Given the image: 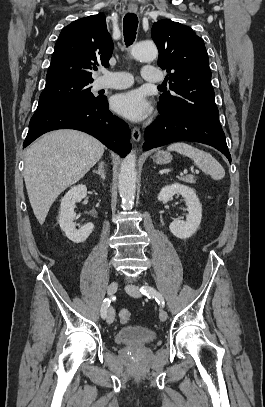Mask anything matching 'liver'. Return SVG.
Segmentation results:
<instances>
[{"instance_id": "6515ba94", "label": "liver", "mask_w": 265, "mask_h": 407, "mask_svg": "<svg viewBox=\"0 0 265 407\" xmlns=\"http://www.w3.org/2000/svg\"><path fill=\"white\" fill-rule=\"evenodd\" d=\"M104 148L91 135L72 129L50 132L28 147L24 180L40 224L45 222L56 198L99 161Z\"/></svg>"}]
</instances>
